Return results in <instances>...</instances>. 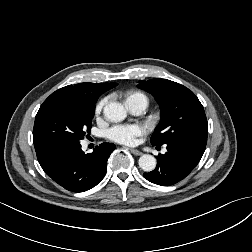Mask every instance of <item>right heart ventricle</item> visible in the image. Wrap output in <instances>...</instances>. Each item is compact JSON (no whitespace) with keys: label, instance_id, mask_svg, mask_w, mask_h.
Here are the masks:
<instances>
[{"label":"right heart ventricle","instance_id":"1","mask_svg":"<svg viewBox=\"0 0 252 252\" xmlns=\"http://www.w3.org/2000/svg\"><path fill=\"white\" fill-rule=\"evenodd\" d=\"M133 98H141L147 102V97L141 92H132V93L128 94L126 101L133 99Z\"/></svg>","mask_w":252,"mask_h":252}]
</instances>
